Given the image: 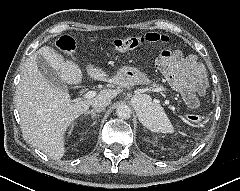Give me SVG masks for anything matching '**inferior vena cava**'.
<instances>
[{
	"mask_svg": "<svg viewBox=\"0 0 240 191\" xmlns=\"http://www.w3.org/2000/svg\"><path fill=\"white\" fill-rule=\"evenodd\" d=\"M111 103L110 99H98L93 101L92 106L93 110H104L106 106H108Z\"/></svg>",
	"mask_w": 240,
	"mask_h": 191,
	"instance_id": "obj_1",
	"label": "inferior vena cava"
}]
</instances>
